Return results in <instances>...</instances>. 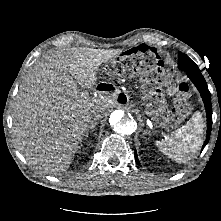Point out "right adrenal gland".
<instances>
[{
  "label": "right adrenal gland",
  "mask_w": 221,
  "mask_h": 221,
  "mask_svg": "<svg viewBox=\"0 0 221 221\" xmlns=\"http://www.w3.org/2000/svg\"><path fill=\"white\" fill-rule=\"evenodd\" d=\"M95 125H96V124H92L91 127H90L91 130H90V131L88 130V131L86 132V134H85V137H86V138H85V139H87L89 133H93V132H94V130H95V129H94V128H95Z\"/></svg>",
  "instance_id": "obj_1"
}]
</instances>
